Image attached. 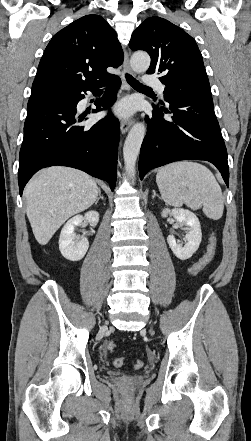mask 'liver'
Listing matches in <instances>:
<instances>
[{
	"label": "liver",
	"mask_w": 251,
	"mask_h": 441,
	"mask_svg": "<svg viewBox=\"0 0 251 441\" xmlns=\"http://www.w3.org/2000/svg\"><path fill=\"white\" fill-rule=\"evenodd\" d=\"M98 193L96 182L82 171L60 166L41 170L24 189L37 242L46 245L68 218L91 207Z\"/></svg>",
	"instance_id": "obj_1"
}]
</instances>
